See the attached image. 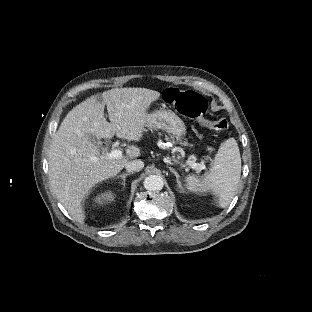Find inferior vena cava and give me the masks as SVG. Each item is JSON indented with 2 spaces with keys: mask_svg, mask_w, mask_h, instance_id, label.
<instances>
[{
  "mask_svg": "<svg viewBox=\"0 0 312 312\" xmlns=\"http://www.w3.org/2000/svg\"><path fill=\"white\" fill-rule=\"evenodd\" d=\"M144 167V162L141 160H132L125 164V168L128 172H139Z\"/></svg>",
  "mask_w": 312,
  "mask_h": 312,
  "instance_id": "inferior-vena-cava-1",
  "label": "inferior vena cava"
}]
</instances>
